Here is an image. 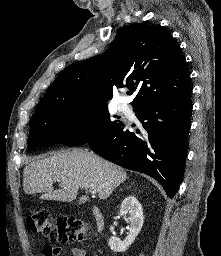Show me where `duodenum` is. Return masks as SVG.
Returning a JSON list of instances; mask_svg holds the SVG:
<instances>
[{"label":"duodenum","mask_w":221,"mask_h":256,"mask_svg":"<svg viewBox=\"0 0 221 256\" xmlns=\"http://www.w3.org/2000/svg\"><path fill=\"white\" fill-rule=\"evenodd\" d=\"M93 216H94V221H95L97 231L98 232L103 231L104 225H105L104 217L101 211L97 207L93 208Z\"/></svg>","instance_id":"1"}]
</instances>
